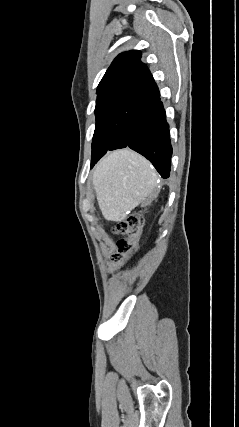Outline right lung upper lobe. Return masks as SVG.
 Wrapping results in <instances>:
<instances>
[{
  "label": "right lung upper lobe",
  "instance_id": "right-lung-upper-lobe-1",
  "mask_svg": "<svg viewBox=\"0 0 239 427\" xmlns=\"http://www.w3.org/2000/svg\"><path fill=\"white\" fill-rule=\"evenodd\" d=\"M97 94V101L129 97L148 100L160 95L149 69L141 62V53L135 50L114 59L98 85Z\"/></svg>",
  "mask_w": 239,
  "mask_h": 427
}]
</instances>
